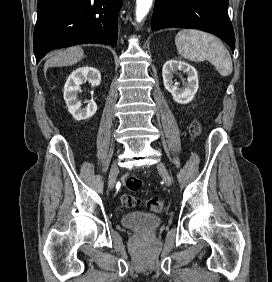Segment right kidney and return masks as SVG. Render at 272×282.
Instances as JSON below:
<instances>
[{"label": "right kidney", "instance_id": "1", "mask_svg": "<svg viewBox=\"0 0 272 282\" xmlns=\"http://www.w3.org/2000/svg\"><path fill=\"white\" fill-rule=\"evenodd\" d=\"M83 80H88L92 87L99 86L101 74L99 70L86 66L74 70L66 80L64 100L70 114L78 121L92 117L97 111V105L94 101H90L85 108H81L82 104L77 99V93L80 91Z\"/></svg>", "mask_w": 272, "mask_h": 282}]
</instances>
